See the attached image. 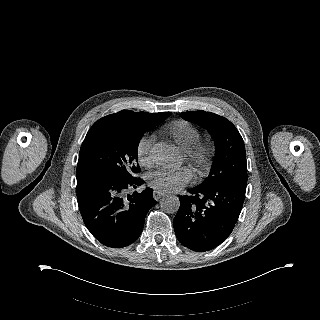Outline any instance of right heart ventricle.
<instances>
[{"label": "right heart ventricle", "instance_id": "1", "mask_svg": "<svg viewBox=\"0 0 320 320\" xmlns=\"http://www.w3.org/2000/svg\"><path fill=\"white\" fill-rule=\"evenodd\" d=\"M163 132L183 150L198 142L200 137L198 130L183 120L169 124L163 129Z\"/></svg>", "mask_w": 320, "mask_h": 320}]
</instances>
